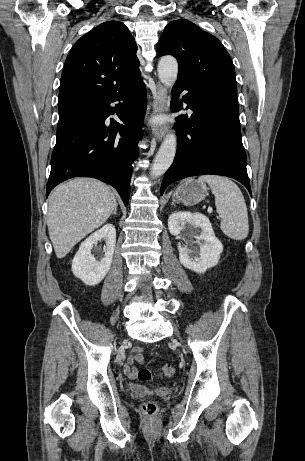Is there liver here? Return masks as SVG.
I'll use <instances>...</instances> for the list:
<instances>
[{
	"label": "liver",
	"instance_id": "obj_1",
	"mask_svg": "<svg viewBox=\"0 0 305 461\" xmlns=\"http://www.w3.org/2000/svg\"><path fill=\"white\" fill-rule=\"evenodd\" d=\"M117 206L110 188L95 179L75 178L52 192L47 226L57 258H64L87 234L104 224Z\"/></svg>",
	"mask_w": 305,
	"mask_h": 461
}]
</instances>
